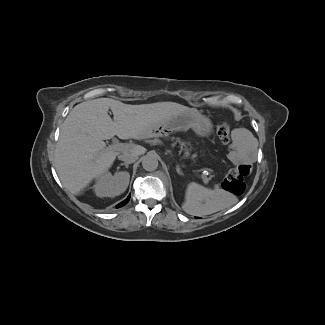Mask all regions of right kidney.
<instances>
[{
    "label": "right kidney",
    "mask_w": 325,
    "mask_h": 325,
    "mask_svg": "<svg viewBox=\"0 0 325 325\" xmlns=\"http://www.w3.org/2000/svg\"><path fill=\"white\" fill-rule=\"evenodd\" d=\"M130 175L128 172H116L112 175L105 171L97 177L94 191L98 197H116L128 187Z\"/></svg>",
    "instance_id": "ca27d5eb"
}]
</instances>
